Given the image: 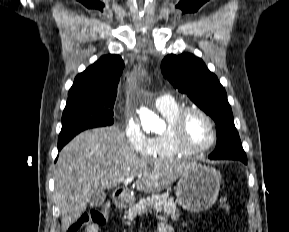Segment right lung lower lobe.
<instances>
[{
  "mask_svg": "<svg viewBox=\"0 0 289 232\" xmlns=\"http://www.w3.org/2000/svg\"><path fill=\"white\" fill-rule=\"evenodd\" d=\"M62 147H63V146L58 147V150H61Z\"/></svg>",
  "mask_w": 289,
  "mask_h": 232,
  "instance_id": "1",
  "label": "right lung lower lobe"
}]
</instances>
